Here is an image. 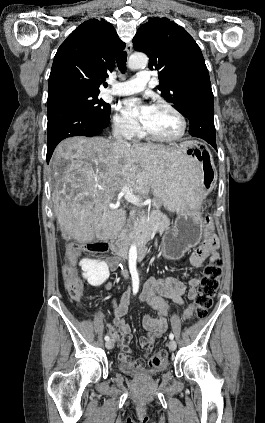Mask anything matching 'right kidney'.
<instances>
[{"label": "right kidney", "mask_w": 265, "mask_h": 423, "mask_svg": "<svg viewBox=\"0 0 265 423\" xmlns=\"http://www.w3.org/2000/svg\"><path fill=\"white\" fill-rule=\"evenodd\" d=\"M79 265L83 278L87 279L91 286L102 285L110 276L108 265L104 261L83 259Z\"/></svg>", "instance_id": "1"}]
</instances>
